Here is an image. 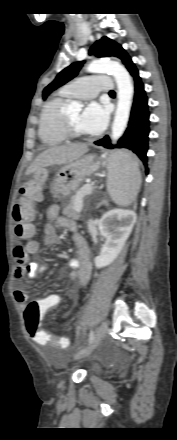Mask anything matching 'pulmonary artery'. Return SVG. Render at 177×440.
I'll list each match as a JSON object with an SVG mask.
<instances>
[{"mask_svg": "<svg viewBox=\"0 0 177 440\" xmlns=\"http://www.w3.org/2000/svg\"><path fill=\"white\" fill-rule=\"evenodd\" d=\"M112 81L106 75H90L78 78L68 84L63 89L73 97L79 99H91L96 97L99 92H107L112 88Z\"/></svg>", "mask_w": 177, "mask_h": 440, "instance_id": "obj_1", "label": "pulmonary artery"}]
</instances>
